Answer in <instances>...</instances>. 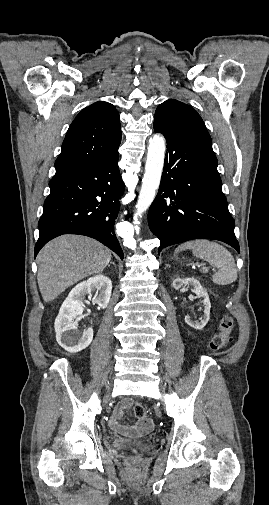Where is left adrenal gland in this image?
Masks as SVG:
<instances>
[{"label":"left adrenal gland","instance_id":"obj_1","mask_svg":"<svg viewBox=\"0 0 269 505\" xmlns=\"http://www.w3.org/2000/svg\"><path fill=\"white\" fill-rule=\"evenodd\" d=\"M168 267H170V265H169V264H166V267H165V268H168Z\"/></svg>","mask_w":269,"mask_h":505}]
</instances>
